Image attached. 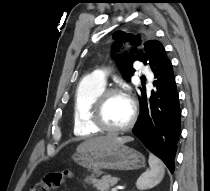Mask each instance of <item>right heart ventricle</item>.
I'll return each mask as SVG.
<instances>
[{
  "label": "right heart ventricle",
  "mask_w": 210,
  "mask_h": 191,
  "mask_svg": "<svg viewBox=\"0 0 210 191\" xmlns=\"http://www.w3.org/2000/svg\"><path fill=\"white\" fill-rule=\"evenodd\" d=\"M105 89V84L84 78L77 86L74 98L73 132L76 136L89 137L100 132L89 121L94 99Z\"/></svg>",
  "instance_id": "right-heart-ventricle-1"
}]
</instances>
